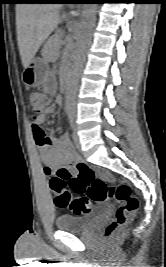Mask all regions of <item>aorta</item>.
<instances>
[{
    "instance_id": "aorta-1",
    "label": "aorta",
    "mask_w": 166,
    "mask_h": 267,
    "mask_svg": "<svg viewBox=\"0 0 166 267\" xmlns=\"http://www.w3.org/2000/svg\"><path fill=\"white\" fill-rule=\"evenodd\" d=\"M97 3H84L81 9L78 29V48L75 51L71 71L66 88V107L69 110L75 107V97L79 83V77L83 69L85 51L92 37L95 26Z\"/></svg>"
}]
</instances>
